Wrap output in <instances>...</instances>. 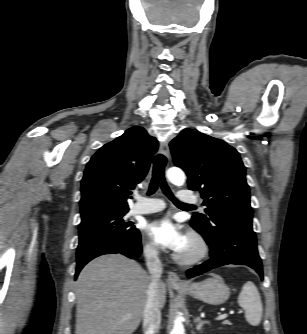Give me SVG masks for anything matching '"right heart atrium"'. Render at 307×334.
<instances>
[{
    "label": "right heart atrium",
    "instance_id": "obj_1",
    "mask_svg": "<svg viewBox=\"0 0 307 334\" xmlns=\"http://www.w3.org/2000/svg\"><path fill=\"white\" fill-rule=\"evenodd\" d=\"M143 252L150 259L155 258L158 255V250L156 246L151 242L143 243Z\"/></svg>",
    "mask_w": 307,
    "mask_h": 334
}]
</instances>
